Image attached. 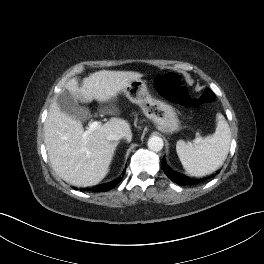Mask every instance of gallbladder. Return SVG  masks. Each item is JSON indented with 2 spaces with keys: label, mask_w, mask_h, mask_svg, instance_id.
<instances>
[{
  "label": "gallbladder",
  "mask_w": 264,
  "mask_h": 264,
  "mask_svg": "<svg viewBox=\"0 0 264 264\" xmlns=\"http://www.w3.org/2000/svg\"><path fill=\"white\" fill-rule=\"evenodd\" d=\"M56 102L62 112L77 120H85L90 116L89 109L80 106L77 99L66 89L57 95Z\"/></svg>",
  "instance_id": "1"
}]
</instances>
